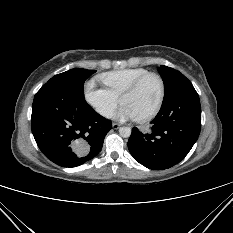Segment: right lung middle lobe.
<instances>
[{
  "label": "right lung middle lobe",
  "instance_id": "dd1d6c3e",
  "mask_svg": "<svg viewBox=\"0 0 233 233\" xmlns=\"http://www.w3.org/2000/svg\"><path fill=\"white\" fill-rule=\"evenodd\" d=\"M95 72L96 70L74 68L55 75L47 83L59 84L84 94V82Z\"/></svg>",
  "mask_w": 233,
  "mask_h": 233
}]
</instances>
